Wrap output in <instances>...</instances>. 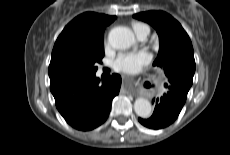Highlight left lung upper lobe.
<instances>
[{
	"mask_svg": "<svg viewBox=\"0 0 230 155\" xmlns=\"http://www.w3.org/2000/svg\"><path fill=\"white\" fill-rule=\"evenodd\" d=\"M133 17L152 25L159 35V54L153 65L164 68L169 79L181 80L191 86L195 73L194 51L180 23L163 11L141 12Z\"/></svg>",
	"mask_w": 230,
	"mask_h": 155,
	"instance_id": "obj_1",
	"label": "left lung upper lobe"
}]
</instances>
